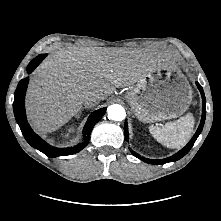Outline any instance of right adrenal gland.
<instances>
[{
  "mask_svg": "<svg viewBox=\"0 0 221 221\" xmlns=\"http://www.w3.org/2000/svg\"><path fill=\"white\" fill-rule=\"evenodd\" d=\"M82 110H83V109H82ZM82 110L76 115L77 118L80 116Z\"/></svg>",
  "mask_w": 221,
  "mask_h": 221,
  "instance_id": "2a0ac1e0",
  "label": "right adrenal gland"
}]
</instances>
